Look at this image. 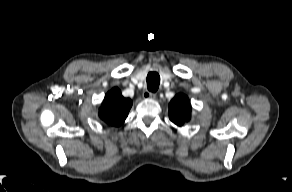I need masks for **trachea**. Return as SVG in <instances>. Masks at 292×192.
Wrapping results in <instances>:
<instances>
[{"label": "trachea", "instance_id": "trachea-1", "mask_svg": "<svg viewBox=\"0 0 292 192\" xmlns=\"http://www.w3.org/2000/svg\"><path fill=\"white\" fill-rule=\"evenodd\" d=\"M160 76L157 72H150L147 75V88L151 92H156L159 88Z\"/></svg>", "mask_w": 292, "mask_h": 192}]
</instances>
